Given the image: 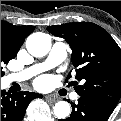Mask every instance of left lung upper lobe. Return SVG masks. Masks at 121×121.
Here are the masks:
<instances>
[{"label":"left lung upper lobe","mask_w":121,"mask_h":121,"mask_svg":"<svg viewBox=\"0 0 121 121\" xmlns=\"http://www.w3.org/2000/svg\"><path fill=\"white\" fill-rule=\"evenodd\" d=\"M47 30L64 38L72 49L76 79L84 82L75 91L113 111L121 96V49L114 39L90 22L48 26Z\"/></svg>","instance_id":"left-lung-upper-lobe-1"}]
</instances>
